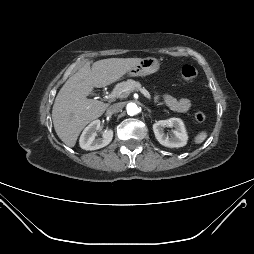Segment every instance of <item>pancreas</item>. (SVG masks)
<instances>
[{"label": "pancreas", "instance_id": "1", "mask_svg": "<svg viewBox=\"0 0 254 254\" xmlns=\"http://www.w3.org/2000/svg\"><path fill=\"white\" fill-rule=\"evenodd\" d=\"M141 87V83L139 81H134L129 79L127 81H123L118 83L113 89L111 96L116 98H126L130 92L137 90ZM159 96L157 95L156 98Z\"/></svg>", "mask_w": 254, "mask_h": 254}]
</instances>
